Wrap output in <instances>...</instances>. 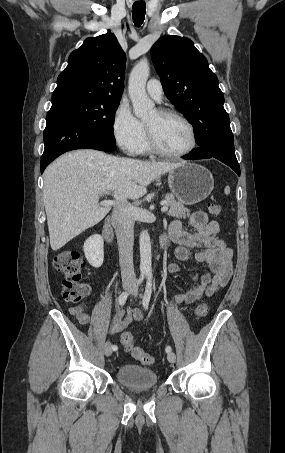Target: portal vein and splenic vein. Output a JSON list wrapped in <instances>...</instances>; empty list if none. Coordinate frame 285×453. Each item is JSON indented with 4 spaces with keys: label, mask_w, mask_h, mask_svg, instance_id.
<instances>
[{
    "label": "portal vein and splenic vein",
    "mask_w": 285,
    "mask_h": 453,
    "mask_svg": "<svg viewBox=\"0 0 285 453\" xmlns=\"http://www.w3.org/2000/svg\"><path fill=\"white\" fill-rule=\"evenodd\" d=\"M108 194V192H106ZM114 202L113 201H108V202H104V204H108V205H111L113 204ZM161 211L162 212H167L168 211V206L166 203H163V206L161 208Z\"/></svg>",
    "instance_id": "18ae733b"
}]
</instances>
